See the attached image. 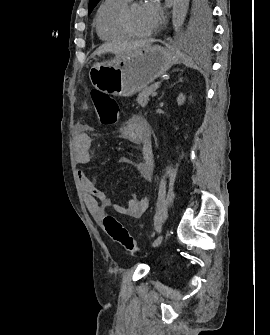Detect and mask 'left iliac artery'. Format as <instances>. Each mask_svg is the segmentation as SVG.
I'll use <instances>...</instances> for the list:
<instances>
[{"label":"left iliac artery","instance_id":"1","mask_svg":"<svg viewBox=\"0 0 270 335\" xmlns=\"http://www.w3.org/2000/svg\"><path fill=\"white\" fill-rule=\"evenodd\" d=\"M154 225H155V229H156L157 233H160L161 230H162V222H161V219L157 218V219L155 220Z\"/></svg>","mask_w":270,"mask_h":335}]
</instances>
